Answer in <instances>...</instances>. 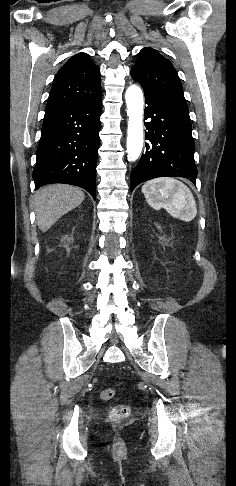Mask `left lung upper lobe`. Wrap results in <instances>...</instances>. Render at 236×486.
I'll return each instance as SVG.
<instances>
[{"label": "left lung upper lobe", "instance_id": "left-lung-upper-lobe-1", "mask_svg": "<svg viewBox=\"0 0 236 486\" xmlns=\"http://www.w3.org/2000/svg\"><path fill=\"white\" fill-rule=\"evenodd\" d=\"M131 76L144 90L150 91L178 111L189 114L177 72L172 63L157 50L143 48L137 54Z\"/></svg>", "mask_w": 236, "mask_h": 486}]
</instances>
